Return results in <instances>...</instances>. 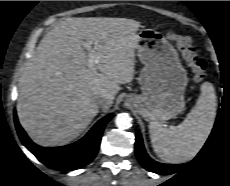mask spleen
Listing matches in <instances>:
<instances>
[{
    "label": "spleen",
    "instance_id": "3e777b00",
    "mask_svg": "<svg viewBox=\"0 0 230 186\" xmlns=\"http://www.w3.org/2000/svg\"><path fill=\"white\" fill-rule=\"evenodd\" d=\"M217 97L213 85L204 82L196 105L176 127L151 121L149 132L152 147L159 158L170 163L193 159L205 144L216 117Z\"/></svg>",
    "mask_w": 230,
    "mask_h": 186
}]
</instances>
